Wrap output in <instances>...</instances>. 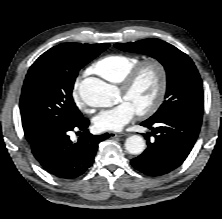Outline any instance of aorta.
Instances as JSON below:
<instances>
[{
    "label": "aorta",
    "mask_w": 222,
    "mask_h": 219,
    "mask_svg": "<svg viewBox=\"0 0 222 219\" xmlns=\"http://www.w3.org/2000/svg\"><path fill=\"white\" fill-rule=\"evenodd\" d=\"M78 92L82 101L91 107H109L115 100L113 88L96 77L82 80ZM125 148L131 154H141L145 149V141L139 135H132L126 139Z\"/></svg>",
    "instance_id": "1"
}]
</instances>
